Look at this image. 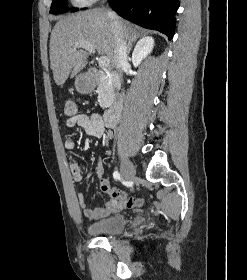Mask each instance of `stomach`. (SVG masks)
Returning a JSON list of instances; mask_svg holds the SVG:
<instances>
[{
    "instance_id": "stomach-1",
    "label": "stomach",
    "mask_w": 247,
    "mask_h": 280,
    "mask_svg": "<svg viewBox=\"0 0 247 280\" xmlns=\"http://www.w3.org/2000/svg\"><path fill=\"white\" fill-rule=\"evenodd\" d=\"M75 87L80 93H88L92 86L84 77L78 76L75 80Z\"/></svg>"
}]
</instances>
